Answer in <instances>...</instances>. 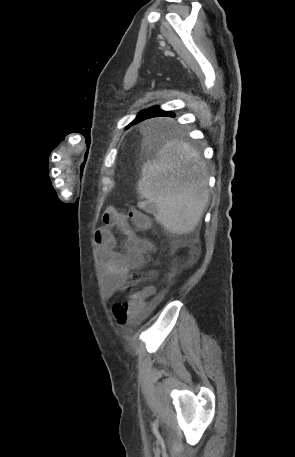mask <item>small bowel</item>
Instances as JSON below:
<instances>
[{"label": "small bowel", "instance_id": "1", "mask_svg": "<svg viewBox=\"0 0 295 457\" xmlns=\"http://www.w3.org/2000/svg\"><path fill=\"white\" fill-rule=\"evenodd\" d=\"M115 231L123 236L122 250L118 249ZM95 240L107 297L125 291L129 273L141 269L155 249L152 242L133 231L126 214L113 206L106 208L103 226L96 231Z\"/></svg>", "mask_w": 295, "mask_h": 457}]
</instances>
